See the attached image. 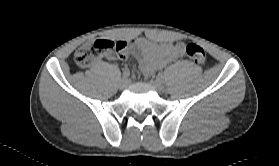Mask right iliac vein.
<instances>
[{
  "label": "right iliac vein",
  "mask_w": 279,
  "mask_h": 166,
  "mask_svg": "<svg viewBox=\"0 0 279 166\" xmlns=\"http://www.w3.org/2000/svg\"><path fill=\"white\" fill-rule=\"evenodd\" d=\"M127 86H128V79L127 78H122L118 83L119 89H125Z\"/></svg>",
  "instance_id": "63e3f726"
}]
</instances>
